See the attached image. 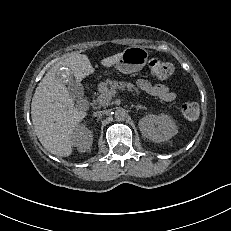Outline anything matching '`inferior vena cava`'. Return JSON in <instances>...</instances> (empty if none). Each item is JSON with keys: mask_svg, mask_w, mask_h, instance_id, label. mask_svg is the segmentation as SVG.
<instances>
[{"mask_svg": "<svg viewBox=\"0 0 231 231\" xmlns=\"http://www.w3.org/2000/svg\"><path fill=\"white\" fill-rule=\"evenodd\" d=\"M104 114H106V111H105V110L94 112L93 115H94V116H102V115H104Z\"/></svg>", "mask_w": 231, "mask_h": 231, "instance_id": "1", "label": "inferior vena cava"}]
</instances>
